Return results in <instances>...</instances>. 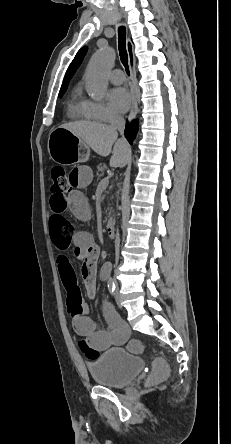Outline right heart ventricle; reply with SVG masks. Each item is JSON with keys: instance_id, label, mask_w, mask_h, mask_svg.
I'll use <instances>...</instances> for the list:
<instances>
[{"instance_id": "right-heart-ventricle-1", "label": "right heart ventricle", "mask_w": 231, "mask_h": 444, "mask_svg": "<svg viewBox=\"0 0 231 444\" xmlns=\"http://www.w3.org/2000/svg\"><path fill=\"white\" fill-rule=\"evenodd\" d=\"M68 113L71 118L80 120H92L87 110L85 100L79 93H75L69 102Z\"/></svg>"}]
</instances>
